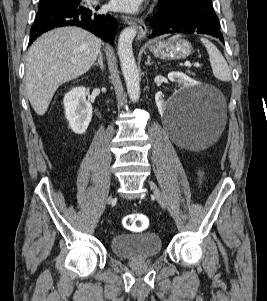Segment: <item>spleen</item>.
Returning <instances> with one entry per match:
<instances>
[{"instance_id": "3e777b00", "label": "spleen", "mask_w": 267, "mask_h": 301, "mask_svg": "<svg viewBox=\"0 0 267 301\" xmlns=\"http://www.w3.org/2000/svg\"><path fill=\"white\" fill-rule=\"evenodd\" d=\"M178 37H180V35H176L172 37V39ZM200 40L203 43V45L206 47L207 52L209 54V60L214 76L221 81H230L231 71L221 52L208 39L201 38Z\"/></svg>"}]
</instances>
